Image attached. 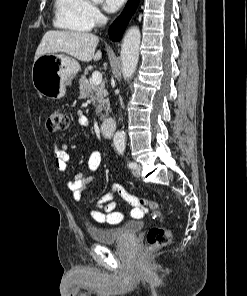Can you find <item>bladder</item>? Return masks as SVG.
<instances>
[{"label":"bladder","mask_w":247,"mask_h":296,"mask_svg":"<svg viewBox=\"0 0 247 296\" xmlns=\"http://www.w3.org/2000/svg\"><path fill=\"white\" fill-rule=\"evenodd\" d=\"M144 227L142 221L132 220L118 227L100 228L89 226L88 231L92 239L97 243H114L124 241L137 234Z\"/></svg>","instance_id":"obj_1"}]
</instances>
